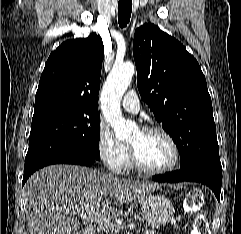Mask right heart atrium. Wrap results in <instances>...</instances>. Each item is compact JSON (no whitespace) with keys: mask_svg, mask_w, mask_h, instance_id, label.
I'll list each match as a JSON object with an SVG mask.
<instances>
[{"mask_svg":"<svg viewBox=\"0 0 241 234\" xmlns=\"http://www.w3.org/2000/svg\"><path fill=\"white\" fill-rule=\"evenodd\" d=\"M96 147L100 159L111 171L122 170L126 145L116 138L110 127L103 123L98 127Z\"/></svg>","mask_w":241,"mask_h":234,"instance_id":"obj_1","label":"right heart atrium"}]
</instances>
